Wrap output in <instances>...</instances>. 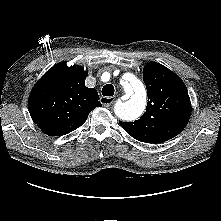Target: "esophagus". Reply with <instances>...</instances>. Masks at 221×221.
<instances>
[{
	"mask_svg": "<svg viewBox=\"0 0 221 221\" xmlns=\"http://www.w3.org/2000/svg\"><path fill=\"white\" fill-rule=\"evenodd\" d=\"M115 100V97H101L100 102L105 106L109 107Z\"/></svg>",
	"mask_w": 221,
	"mask_h": 221,
	"instance_id": "obj_1",
	"label": "esophagus"
}]
</instances>
